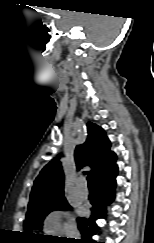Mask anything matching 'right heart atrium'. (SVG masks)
I'll use <instances>...</instances> for the list:
<instances>
[{
  "label": "right heart atrium",
  "instance_id": "right-heart-atrium-1",
  "mask_svg": "<svg viewBox=\"0 0 154 243\" xmlns=\"http://www.w3.org/2000/svg\"><path fill=\"white\" fill-rule=\"evenodd\" d=\"M43 224L45 231L50 233H70L73 230V227L65 221L60 211L49 213L45 217Z\"/></svg>",
  "mask_w": 154,
  "mask_h": 243
}]
</instances>
